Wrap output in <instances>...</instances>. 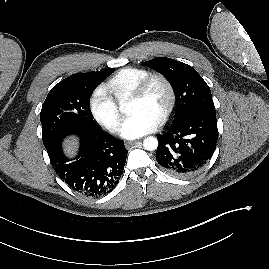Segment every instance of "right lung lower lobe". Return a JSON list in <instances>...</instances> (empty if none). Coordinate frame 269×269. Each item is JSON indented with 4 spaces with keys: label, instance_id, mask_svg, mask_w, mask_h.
Instances as JSON below:
<instances>
[{
    "label": "right lung lower lobe",
    "instance_id": "right-lung-lower-lobe-1",
    "mask_svg": "<svg viewBox=\"0 0 269 269\" xmlns=\"http://www.w3.org/2000/svg\"><path fill=\"white\" fill-rule=\"evenodd\" d=\"M68 135L80 139L79 153L73 159L62 152V141ZM45 148L58 176L73 190L91 197L106 195L116 187L128 153L123 141L100 128L64 134Z\"/></svg>",
    "mask_w": 269,
    "mask_h": 269
}]
</instances>
